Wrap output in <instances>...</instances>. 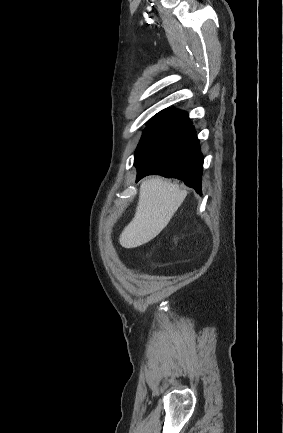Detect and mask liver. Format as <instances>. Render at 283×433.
<instances>
[{"mask_svg":"<svg viewBox=\"0 0 283 433\" xmlns=\"http://www.w3.org/2000/svg\"><path fill=\"white\" fill-rule=\"evenodd\" d=\"M185 196L187 190L160 176L143 180L134 219L122 231L120 245L124 249H135L155 239L168 225Z\"/></svg>","mask_w":283,"mask_h":433,"instance_id":"obj_1","label":"liver"}]
</instances>
